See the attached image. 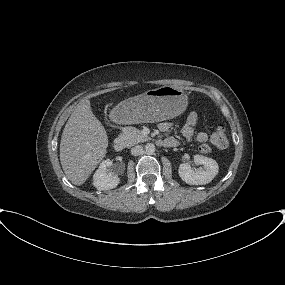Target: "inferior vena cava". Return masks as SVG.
Returning a JSON list of instances; mask_svg holds the SVG:
<instances>
[{
  "label": "inferior vena cava",
  "instance_id": "obj_1",
  "mask_svg": "<svg viewBox=\"0 0 285 285\" xmlns=\"http://www.w3.org/2000/svg\"><path fill=\"white\" fill-rule=\"evenodd\" d=\"M143 152H144V150H143V147L141 145H137L131 149V154L133 156L141 155V154H143Z\"/></svg>",
  "mask_w": 285,
  "mask_h": 285
}]
</instances>
